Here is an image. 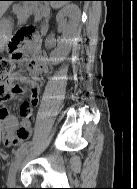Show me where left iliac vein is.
<instances>
[{
	"label": "left iliac vein",
	"mask_w": 137,
	"mask_h": 189,
	"mask_svg": "<svg viewBox=\"0 0 137 189\" xmlns=\"http://www.w3.org/2000/svg\"><path fill=\"white\" fill-rule=\"evenodd\" d=\"M29 153H30V151H24L21 155H19L17 157V159L11 165L9 173H8V177H7V182H6V184L8 186H14L15 185L17 171H18L22 161L24 160V158L26 156L29 155Z\"/></svg>",
	"instance_id": "4c4485c4"
}]
</instances>
